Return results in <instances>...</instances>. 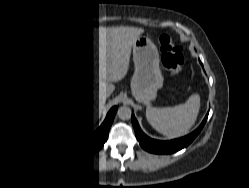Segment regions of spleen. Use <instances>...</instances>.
I'll use <instances>...</instances> for the list:
<instances>
[{
  "label": "spleen",
  "instance_id": "3e777b00",
  "mask_svg": "<svg viewBox=\"0 0 249 188\" xmlns=\"http://www.w3.org/2000/svg\"><path fill=\"white\" fill-rule=\"evenodd\" d=\"M200 108V97L191 95L184 104L157 108L147 106L146 118L159 133L169 137H180L194 125Z\"/></svg>",
  "mask_w": 249,
  "mask_h": 188
}]
</instances>
